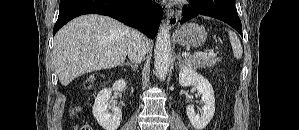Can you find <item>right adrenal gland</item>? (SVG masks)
<instances>
[{
	"label": "right adrenal gland",
	"mask_w": 299,
	"mask_h": 130,
	"mask_svg": "<svg viewBox=\"0 0 299 130\" xmlns=\"http://www.w3.org/2000/svg\"><path fill=\"white\" fill-rule=\"evenodd\" d=\"M124 65L126 66H130L132 70H137V64L136 63H131V62H127V63H124Z\"/></svg>",
	"instance_id": "1"
}]
</instances>
